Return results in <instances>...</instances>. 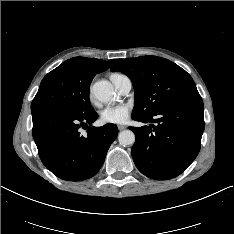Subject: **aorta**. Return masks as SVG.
<instances>
[{
    "label": "aorta",
    "mask_w": 234,
    "mask_h": 234,
    "mask_svg": "<svg viewBox=\"0 0 234 234\" xmlns=\"http://www.w3.org/2000/svg\"><path fill=\"white\" fill-rule=\"evenodd\" d=\"M92 94L103 103H108L115 99L113 85L107 80H100L94 83L92 86ZM118 141L123 146L133 145L135 135L131 130L121 131L118 135Z\"/></svg>",
    "instance_id": "762f6f07"
}]
</instances>
